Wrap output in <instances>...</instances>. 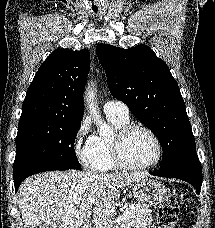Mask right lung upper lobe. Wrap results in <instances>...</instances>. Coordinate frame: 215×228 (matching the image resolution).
Returning a JSON list of instances; mask_svg holds the SVG:
<instances>
[{
  "mask_svg": "<svg viewBox=\"0 0 215 228\" xmlns=\"http://www.w3.org/2000/svg\"><path fill=\"white\" fill-rule=\"evenodd\" d=\"M89 68V50H54L39 67L28 88L18 128L81 121Z\"/></svg>",
  "mask_w": 215,
  "mask_h": 228,
  "instance_id": "obj_1",
  "label": "right lung upper lobe"
}]
</instances>
